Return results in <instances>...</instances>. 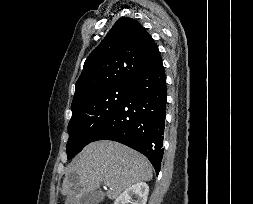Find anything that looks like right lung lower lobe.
I'll return each instance as SVG.
<instances>
[{
  "mask_svg": "<svg viewBox=\"0 0 253 204\" xmlns=\"http://www.w3.org/2000/svg\"><path fill=\"white\" fill-rule=\"evenodd\" d=\"M166 76L160 52L129 85L122 104L93 141L113 140L144 154L159 173L163 157Z\"/></svg>",
  "mask_w": 253,
  "mask_h": 204,
  "instance_id": "98d812e1",
  "label": "right lung lower lobe"
}]
</instances>
